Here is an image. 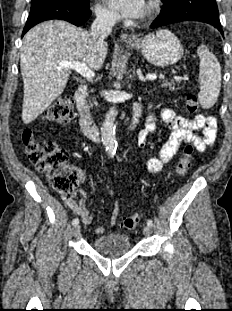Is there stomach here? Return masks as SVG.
Returning a JSON list of instances; mask_svg holds the SVG:
<instances>
[{"label": "stomach", "mask_w": 232, "mask_h": 311, "mask_svg": "<svg viewBox=\"0 0 232 311\" xmlns=\"http://www.w3.org/2000/svg\"><path fill=\"white\" fill-rule=\"evenodd\" d=\"M127 45L135 47L151 64L160 67L177 63L183 55L180 40L165 29L157 30L139 42L127 43Z\"/></svg>", "instance_id": "0dacf381"}]
</instances>
